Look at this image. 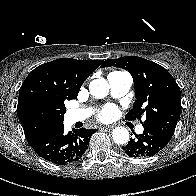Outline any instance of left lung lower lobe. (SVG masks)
I'll return each instance as SVG.
<instances>
[{
  "instance_id": "1",
  "label": "left lung lower lobe",
  "mask_w": 196,
  "mask_h": 196,
  "mask_svg": "<svg viewBox=\"0 0 196 196\" xmlns=\"http://www.w3.org/2000/svg\"><path fill=\"white\" fill-rule=\"evenodd\" d=\"M127 145L122 147L123 154L133 158L151 157L162 150L170 140L152 127L144 126L140 135L135 134Z\"/></svg>"
}]
</instances>
